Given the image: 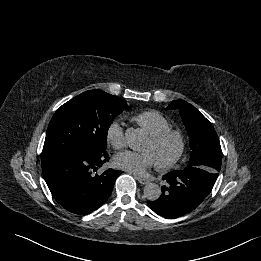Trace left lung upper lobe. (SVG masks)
<instances>
[{"label":"left lung upper lobe","mask_w":261,"mask_h":261,"mask_svg":"<svg viewBox=\"0 0 261 261\" xmlns=\"http://www.w3.org/2000/svg\"><path fill=\"white\" fill-rule=\"evenodd\" d=\"M167 109H178L190 139L188 166H205L220 171L222 151L212 124L194 106L175 100Z\"/></svg>","instance_id":"left-lung-upper-lobe-1"}]
</instances>
